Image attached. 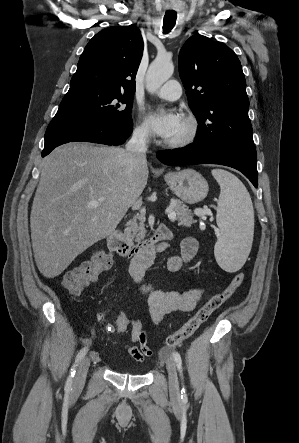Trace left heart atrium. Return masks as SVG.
I'll return each instance as SVG.
<instances>
[{"mask_svg": "<svg viewBox=\"0 0 299 443\" xmlns=\"http://www.w3.org/2000/svg\"><path fill=\"white\" fill-rule=\"evenodd\" d=\"M146 119L152 132L166 140L176 133L182 121L175 111L159 109L150 110Z\"/></svg>", "mask_w": 299, "mask_h": 443, "instance_id": "39dd6f15", "label": "left heart atrium"}]
</instances>
